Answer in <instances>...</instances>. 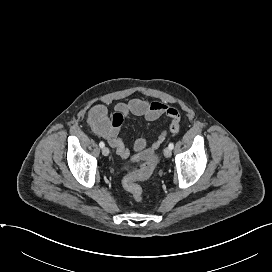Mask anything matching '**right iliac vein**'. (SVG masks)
<instances>
[{
  "label": "right iliac vein",
  "instance_id": "right-iliac-vein-1",
  "mask_svg": "<svg viewBox=\"0 0 272 272\" xmlns=\"http://www.w3.org/2000/svg\"><path fill=\"white\" fill-rule=\"evenodd\" d=\"M102 154H103L104 156H108V155H109V149H108L107 147H103V148H102Z\"/></svg>",
  "mask_w": 272,
  "mask_h": 272
}]
</instances>
